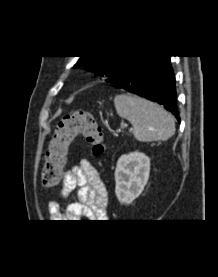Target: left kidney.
<instances>
[{
  "instance_id": "obj_1",
  "label": "left kidney",
  "mask_w": 218,
  "mask_h": 277,
  "mask_svg": "<svg viewBox=\"0 0 218 277\" xmlns=\"http://www.w3.org/2000/svg\"><path fill=\"white\" fill-rule=\"evenodd\" d=\"M150 173V159L144 153L122 155L115 170V194L121 203L130 204L143 191Z\"/></svg>"
}]
</instances>
